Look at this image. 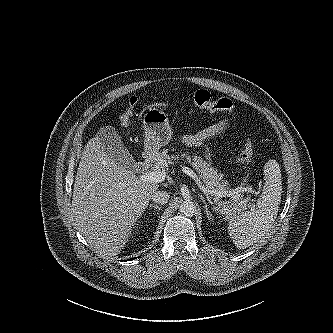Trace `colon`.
I'll list each match as a JSON object with an SVG mask.
<instances>
[{
  "label": "colon",
  "instance_id": "colon-1",
  "mask_svg": "<svg viewBox=\"0 0 333 333\" xmlns=\"http://www.w3.org/2000/svg\"><path fill=\"white\" fill-rule=\"evenodd\" d=\"M189 97L192 103L201 109H205L212 112H226L229 114L234 113V105L232 101L225 97H214L207 90H193L190 91ZM136 98H134L135 103ZM132 115V109H127L121 116V123L127 125ZM253 158V143L251 139H246L239 153V160L242 165L247 166L250 164Z\"/></svg>",
  "mask_w": 333,
  "mask_h": 333
}]
</instances>
